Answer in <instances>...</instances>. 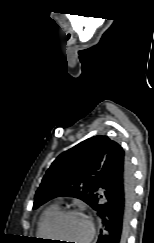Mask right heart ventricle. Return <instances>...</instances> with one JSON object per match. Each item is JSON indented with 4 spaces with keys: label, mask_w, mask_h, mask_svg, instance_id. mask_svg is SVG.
<instances>
[{
    "label": "right heart ventricle",
    "mask_w": 154,
    "mask_h": 243,
    "mask_svg": "<svg viewBox=\"0 0 154 243\" xmlns=\"http://www.w3.org/2000/svg\"><path fill=\"white\" fill-rule=\"evenodd\" d=\"M60 211L59 206L54 204L47 207L41 214L37 224V235L42 239H49L48 225L50 220Z\"/></svg>",
    "instance_id": "obj_1"
}]
</instances>
